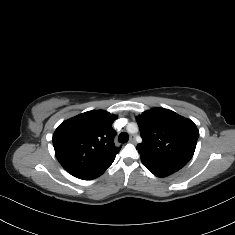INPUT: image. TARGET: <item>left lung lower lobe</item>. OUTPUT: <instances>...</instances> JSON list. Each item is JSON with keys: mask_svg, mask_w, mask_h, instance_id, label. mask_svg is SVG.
Here are the masks:
<instances>
[{"mask_svg": "<svg viewBox=\"0 0 235 235\" xmlns=\"http://www.w3.org/2000/svg\"><path fill=\"white\" fill-rule=\"evenodd\" d=\"M141 161L144 166L157 177L169 176L184 167V165L176 162L166 161L146 155H141Z\"/></svg>", "mask_w": 235, "mask_h": 235, "instance_id": "obj_1", "label": "left lung lower lobe"}]
</instances>
